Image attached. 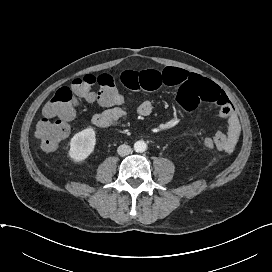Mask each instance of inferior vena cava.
Returning a JSON list of instances; mask_svg holds the SVG:
<instances>
[{
    "mask_svg": "<svg viewBox=\"0 0 272 272\" xmlns=\"http://www.w3.org/2000/svg\"><path fill=\"white\" fill-rule=\"evenodd\" d=\"M132 151L131 147L126 144H122L118 147L117 152L120 156H126L130 154Z\"/></svg>",
    "mask_w": 272,
    "mask_h": 272,
    "instance_id": "inferior-vena-cava-1",
    "label": "inferior vena cava"
}]
</instances>
